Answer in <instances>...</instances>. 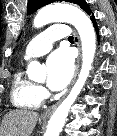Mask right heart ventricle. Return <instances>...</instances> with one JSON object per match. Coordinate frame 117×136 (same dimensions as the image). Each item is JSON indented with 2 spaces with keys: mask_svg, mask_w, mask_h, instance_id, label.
<instances>
[{
  "mask_svg": "<svg viewBox=\"0 0 117 136\" xmlns=\"http://www.w3.org/2000/svg\"><path fill=\"white\" fill-rule=\"evenodd\" d=\"M11 100L18 108L35 109L42 103L43 95L40 88L19 70L13 77Z\"/></svg>",
  "mask_w": 117,
  "mask_h": 136,
  "instance_id": "e07e8e85",
  "label": "right heart ventricle"
}]
</instances>
